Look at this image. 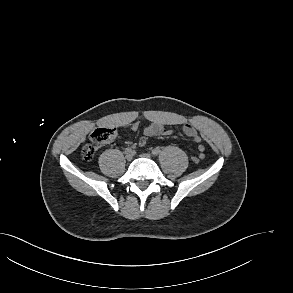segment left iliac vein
I'll use <instances>...</instances> for the list:
<instances>
[{
	"mask_svg": "<svg viewBox=\"0 0 293 293\" xmlns=\"http://www.w3.org/2000/svg\"><path fill=\"white\" fill-rule=\"evenodd\" d=\"M141 157L150 158L151 157V154L145 153V154H142Z\"/></svg>",
	"mask_w": 293,
	"mask_h": 293,
	"instance_id": "1",
	"label": "left iliac vein"
}]
</instances>
